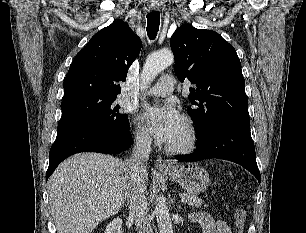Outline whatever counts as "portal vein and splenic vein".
<instances>
[{
	"label": "portal vein and splenic vein",
	"mask_w": 306,
	"mask_h": 233,
	"mask_svg": "<svg viewBox=\"0 0 306 233\" xmlns=\"http://www.w3.org/2000/svg\"><path fill=\"white\" fill-rule=\"evenodd\" d=\"M181 202H186V198L182 197Z\"/></svg>",
	"instance_id": "1"
}]
</instances>
